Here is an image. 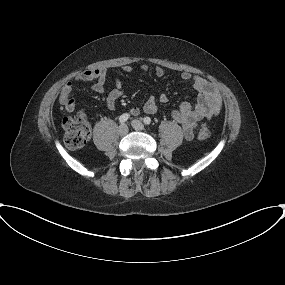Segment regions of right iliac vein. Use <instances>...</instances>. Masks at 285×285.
Wrapping results in <instances>:
<instances>
[{
	"mask_svg": "<svg viewBox=\"0 0 285 285\" xmlns=\"http://www.w3.org/2000/svg\"><path fill=\"white\" fill-rule=\"evenodd\" d=\"M129 129L128 126L126 124H121L119 126L118 132L121 136H124L128 133Z\"/></svg>",
	"mask_w": 285,
	"mask_h": 285,
	"instance_id": "obj_1",
	"label": "right iliac vein"
}]
</instances>
